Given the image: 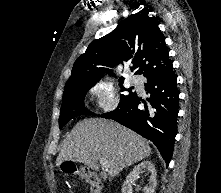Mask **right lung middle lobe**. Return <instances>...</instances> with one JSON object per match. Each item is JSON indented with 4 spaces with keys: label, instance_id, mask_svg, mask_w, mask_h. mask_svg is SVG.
Here are the masks:
<instances>
[{
    "label": "right lung middle lobe",
    "instance_id": "right-lung-middle-lobe-1",
    "mask_svg": "<svg viewBox=\"0 0 221 193\" xmlns=\"http://www.w3.org/2000/svg\"><path fill=\"white\" fill-rule=\"evenodd\" d=\"M122 82V81H121ZM92 86H78L66 88L63 93L62 106L60 110L59 117V127L60 129L72 118L77 117L79 115L90 114V111L87 110L84 106L83 100L88 92V90ZM129 90L128 95H121V100L118 105L120 107L132 97L136 95V93L131 92ZM121 91H125V88L121 86Z\"/></svg>",
    "mask_w": 221,
    "mask_h": 193
}]
</instances>
